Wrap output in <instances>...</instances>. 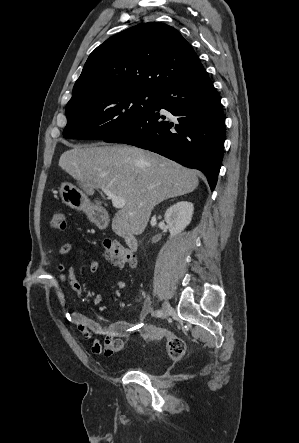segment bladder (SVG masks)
<instances>
[{
	"instance_id": "31cf9c89",
	"label": "bladder",
	"mask_w": 299,
	"mask_h": 443,
	"mask_svg": "<svg viewBox=\"0 0 299 443\" xmlns=\"http://www.w3.org/2000/svg\"><path fill=\"white\" fill-rule=\"evenodd\" d=\"M140 370H142L144 372H149V366L147 364H142L140 366Z\"/></svg>"
}]
</instances>
